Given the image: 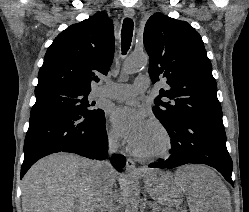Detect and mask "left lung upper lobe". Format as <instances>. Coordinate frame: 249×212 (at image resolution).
Segmentation results:
<instances>
[{
    "mask_svg": "<svg viewBox=\"0 0 249 212\" xmlns=\"http://www.w3.org/2000/svg\"><path fill=\"white\" fill-rule=\"evenodd\" d=\"M144 45L152 82L164 78L170 86L159 91L153 107L162 124L183 116L222 117L212 65L200 34L190 24L155 13L145 25Z\"/></svg>",
    "mask_w": 249,
    "mask_h": 212,
    "instance_id": "1",
    "label": "left lung upper lobe"
}]
</instances>
